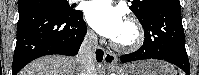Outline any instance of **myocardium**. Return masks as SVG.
Listing matches in <instances>:
<instances>
[{"mask_svg": "<svg viewBox=\"0 0 199 75\" xmlns=\"http://www.w3.org/2000/svg\"><path fill=\"white\" fill-rule=\"evenodd\" d=\"M127 25L133 31V38H132V40H130L127 43L115 41L114 42V46L118 50L125 51V52H131V51L137 50L143 44V41H144V32H143V29H142L140 23L136 19H134V18H130L127 21Z\"/></svg>", "mask_w": 199, "mask_h": 75, "instance_id": "myocardium-1", "label": "myocardium"}]
</instances>
